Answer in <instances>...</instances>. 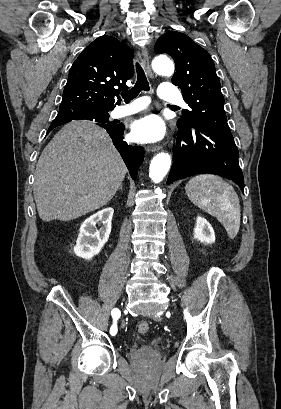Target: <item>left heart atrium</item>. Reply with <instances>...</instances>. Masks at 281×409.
<instances>
[{"label": "left heart atrium", "instance_id": "1", "mask_svg": "<svg viewBox=\"0 0 281 409\" xmlns=\"http://www.w3.org/2000/svg\"><path fill=\"white\" fill-rule=\"evenodd\" d=\"M165 133V124L156 114L139 117L131 127V138L140 144L156 143L164 138Z\"/></svg>", "mask_w": 281, "mask_h": 409}]
</instances>
